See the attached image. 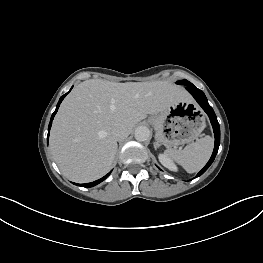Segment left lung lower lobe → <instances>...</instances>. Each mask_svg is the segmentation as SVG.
I'll use <instances>...</instances> for the list:
<instances>
[{
  "label": "left lung lower lobe",
  "mask_w": 263,
  "mask_h": 263,
  "mask_svg": "<svg viewBox=\"0 0 263 263\" xmlns=\"http://www.w3.org/2000/svg\"><path fill=\"white\" fill-rule=\"evenodd\" d=\"M186 89L192 94V96L196 99L198 104L208 114L210 121H211V124L213 126L214 136H215V147H214L212 156H211L210 160L208 161V163L205 165V167L197 174L196 177H199L209 168V166L214 161L215 156L218 152V148L220 145V127H219V123L217 121V117H216L212 107L209 105L205 94L200 89L196 88L193 84L191 86H187Z\"/></svg>",
  "instance_id": "left-lung-lower-lobe-1"
}]
</instances>
